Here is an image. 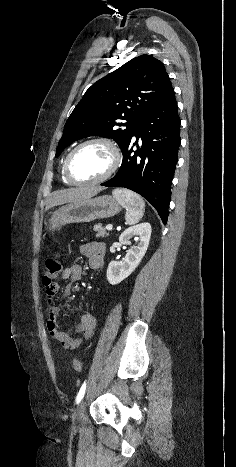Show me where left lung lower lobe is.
Here are the masks:
<instances>
[{"instance_id":"1","label":"left lung lower lobe","mask_w":236,"mask_h":467,"mask_svg":"<svg viewBox=\"0 0 236 467\" xmlns=\"http://www.w3.org/2000/svg\"><path fill=\"white\" fill-rule=\"evenodd\" d=\"M180 123L171 87L133 130L122 150L123 162L117 174L101 184L137 192L154 206L164 224L167 223L171 184L181 142ZM133 137H136L135 143L131 142ZM134 146L138 148L136 151H133Z\"/></svg>"}]
</instances>
